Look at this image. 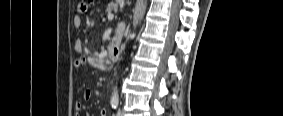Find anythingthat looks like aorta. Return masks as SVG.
Here are the masks:
<instances>
[{"label": "aorta", "mask_w": 283, "mask_h": 116, "mask_svg": "<svg viewBox=\"0 0 283 116\" xmlns=\"http://www.w3.org/2000/svg\"><path fill=\"white\" fill-rule=\"evenodd\" d=\"M146 9V1L142 4V9H141V18H143V15L145 13ZM119 96L117 90H115L112 94L111 101L113 102H118Z\"/></svg>", "instance_id": "1"}]
</instances>
